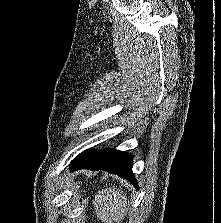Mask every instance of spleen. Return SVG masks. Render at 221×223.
Here are the masks:
<instances>
[{"instance_id":"obj_1","label":"spleen","mask_w":221,"mask_h":223,"mask_svg":"<svg viewBox=\"0 0 221 223\" xmlns=\"http://www.w3.org/2000/svg\"><path fill=\"white\" fill-rule=\"evenodd\" d=\"M116 187H109L98 191L93 200L94 212L104 223H119L128 211L126 195Z\"/></svg>"}]
</instances>
